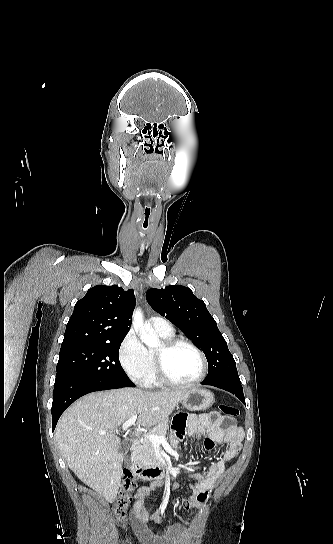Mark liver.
I'll use <instances>...</instances> for the list:
<instances>
[{
	"instance_id": "obj_1",
	"label": "liver",
	"mask_w": 333,
	"mask_h": 544,
	"mask_svg": "<svg viewBox=\"0 0 333 544\" xmlns=\"http://www.w3.org/2000/svg\"><path fill=\"white\" fill-rule=\"evenodd\" d=\"M185 390L144 391L123 388L88 394L70 406L58 421L55 438L68 467L108 502L117 496L123 456L115 433L135 414L137 425L163 422ZM108 434H101V432Z\"/></svg>"
}]
</instances>
